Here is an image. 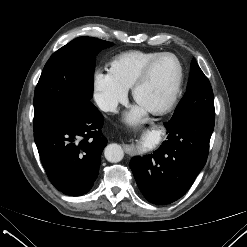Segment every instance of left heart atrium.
<instances>
[{
    "label": "left heart atrium",
    "instance_id": "1",
    "mask_svg": "<svg viewBox=\"0 0 247 247\" xmlns=\"http://www.w3.org/2000/svg\"><path fill=\"white\" fill-rule=\"evenodd\" d=\"M144 114V109L142 107L134 108L127 116V120L130 122H135L141 118Z\"/></svg>",
    "mask_w": 247,
    "mask_h": 247
}]
</instances>
